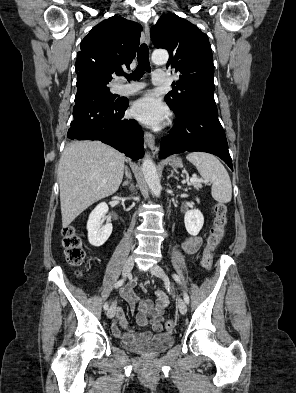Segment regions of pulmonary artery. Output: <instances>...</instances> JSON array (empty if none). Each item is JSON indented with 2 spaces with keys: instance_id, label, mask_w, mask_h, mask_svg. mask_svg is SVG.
<instances>
[{
  "instance_id": "1",
  "label": "pulmonary artery",
  "mask_w": 296,
  "mask_h": 393,
  "mask_svg": "<svg viewBox=\"0 0 296 393\" xmlns=\"http://www.w3.org/2000/svg\"><path fill=\"white\" fill-rule=\"evenodd\" d=\"M166 81H167V75L164 71L157 70L153 73L152 83L154 85H160L165 83ZM144 86L145 85L143 83H139V82H133L129 84L119 83L116 85L115 91L120 95H131L140 91L142 88H144Z\"/></svg>"
}]
</instances>
